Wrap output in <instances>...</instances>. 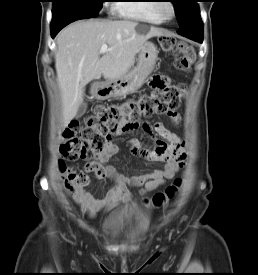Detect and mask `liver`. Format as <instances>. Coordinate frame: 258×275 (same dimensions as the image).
Wrapping results in <instances>:
<instances>
[{
    "instance_id": "6515ba94",
    "label": "liver",
    "mask_w": 258,
    "mask_h": 275,
    "mask_svg": "<svg viewBox=\"0 0 258 275\" xmlns=\"http://www.w3.org/2000/svg\"><path fill=\"white\" fill-rule=\"evenodd\" d=\"M163 32L131 20H87L67 26L57 35L55 68L62 100L63 127L76 116L85 86L101 77L116 79L134 64L141 46ZM109 50L100 58V48Z\"/></svg>"
}]
</instances>
